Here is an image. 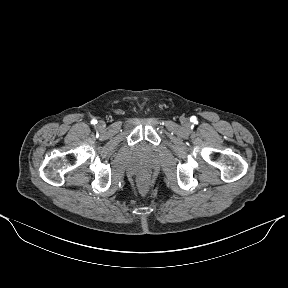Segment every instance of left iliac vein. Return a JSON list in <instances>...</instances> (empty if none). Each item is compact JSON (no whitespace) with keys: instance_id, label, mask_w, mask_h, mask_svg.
<instances>
[{"instance_id":"4c4485c4","label":"left iliac vein","mask_w":288,"mask_h":288,"mask_svg":"<svg viewBox=\"0 0 288 288\" xmlns=\"http://www.w3.org/2000/svg\"><path fill=\"white\" fill-rule=\"evenodd\" d=\"M188 124V122L187 121H185V125H187Z\"/></svg>"}]
</instances>
